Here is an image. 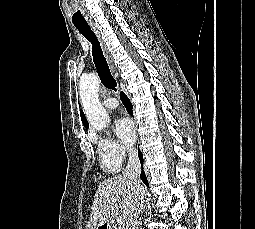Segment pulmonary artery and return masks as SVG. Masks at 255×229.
<instances>
[{"label":"pulmonary artery","mask_w":255,"mask_h":229,"mask_svg":"<svg viewBox=\"0 0 255 229\" xmlns=\"http://www.w3.org/2000/svg\"><path fill=\"white\" fill-rule=\"evenodd\" d=\"M103 103L109 110H114L118 106L117 100L111 97L106 98Z\"/></svg>","instance_id":"pulmonary-artery-1"}]
</instances>
